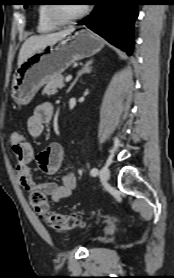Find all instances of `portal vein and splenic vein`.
I'll return each instance as SVG.
<instances>
[{"label":"portal vein and splenic vein","mask_w":174,"mask_h":278,"mask_svg":"<svg viewBox=\"0 0 174 278\" xmlns=\"http://www.w3.org/2000/svg\"><path fill=\"white\" fill-rule=\"evenodd\" d=\"M71 79H72V76L69 75V76L66 77L65 81H66V82H69Z\"/></svg>","instance_id":"1"}]
</instances>
